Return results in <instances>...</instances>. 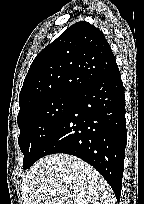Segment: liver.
<instances>
[{
  "label": "liver",
  "mask_w": 144,
  "mask_h": 204,
  "mask_svg": "<svg viewBox=\"0 0 144 204\" xmlns=\"http://www.w3.org/2000/svg\"><path fill=\"white\" fill-rule=\"evenodd\" d=\"M24 204H115L114 193L85 161L63 153L37 161L22 177Z\"/></svg>",
  "instance_id": "1"
}]
</instances>
